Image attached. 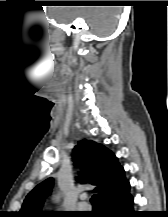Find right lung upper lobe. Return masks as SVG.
Masks as SVG:
<instances>
[{
	"mask_svg": "<svg viewBox=\"0 0 168 217\" xmlns=\"http://www.w3.org/2000/svg\"><path fill=\"white\" fill-rule=\"evenodd\" d=\"M74 164L82 168L80 183L96 185L100 204L108 201L130 186L124 169L116 156L105 146L83 139L73 149ZM53 179L48 178L38 184L25 198L19 217H47L50 211L41 208L46 196L51 193Z\"/></svg>",
	"mask_w": 168,
	"mask_h": 217,
	"instance_id": "1",
	"label": "right lung upper lobe"
}]
</instances>
